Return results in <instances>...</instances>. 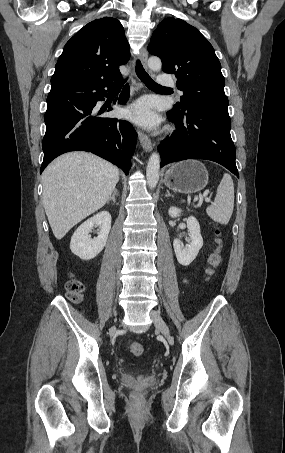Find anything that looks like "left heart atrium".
I'll return each instance as SVG.
<instances>
[{
    "mask_svg": "<svg viewBox=\"0 0 285 453\" xmlns=\"http://www.w3.org/2000/svg\"><path fill=\"white\" fill-rule=\"evenodd\" d=\"M125 114L130 120L149 129L156 128L160 123L159 116L155 113L151 101L147 98L133 103L127 108Z\"/></svg>",
    "mask_w": 285,
    "mask_h": 453,
    "instance_id": "obj_1",
    "label": "left heart atrium"
}]
</instances>
